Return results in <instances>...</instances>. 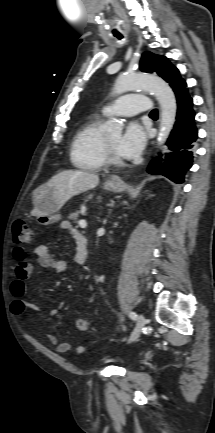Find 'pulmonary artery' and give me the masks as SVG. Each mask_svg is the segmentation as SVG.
I'll use <instances>...</instances> for the list:
<instances>
[{
  "label": "pulmonary artery",
  "mask_w": 215,
  "mask_h": 433,
  "mask_svg": "<svg viewBox=\"0 0 215 433\" xmlns=\"http://www.w3.org/2000/svg\"><path fill=\"white\" fill-rule=\"evenodd\" d=\"M153 111L151 100L140 93H130L117 99L114 103L106 105L102 112L104 115L133 116L143 112Z\"/></svg>",
  "instance_id": "1"
}]
</instances>
